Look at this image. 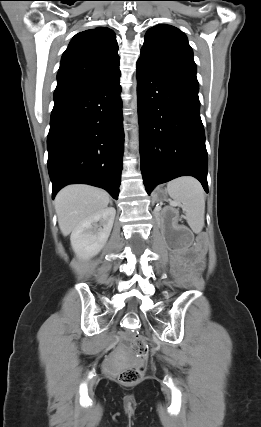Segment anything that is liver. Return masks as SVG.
I'll use <instances>...</instances> for the list:
<instances>
[{
	"mask_svg": "<svg viewBox=\"0 0 261 427\" xmlns=\"http://www.w3.org/2000/svg\"><path fill=\"white\" fill-rule=\"evenodd\" d=\"M109 194L102 189L74 184L64 187L55 198L58 224L64 236L81 222L103 211L109 203Z\"/></svg>",
	"mask_w": 261,
	"mask_h": 427,
	"instance_id": "1",
	"label": "liver"
}]
</instances>
